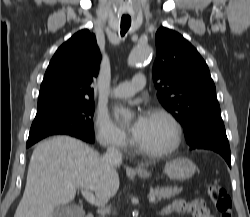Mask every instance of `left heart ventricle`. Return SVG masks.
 <instances>
[{"mask_svg":"<svg viewBox=\"0 0 250 217\" xmlns=\"http://www.w3.org/2000/svg\"><path fill=\"white\" fill-rule=\"evenodd\" d=\"M171 138L170 125L163 118L150 114L137 143L148 150H161L169 145Z\"/></svg>","mask_w":250,"mask_h":217,"instance_id":"1","label":"left heart ventricle"}]
</instances>
